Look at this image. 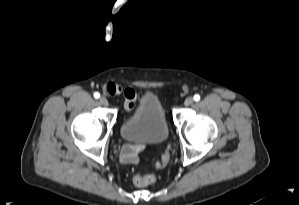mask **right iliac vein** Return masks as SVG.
<instances>
[{
	"mask_svg": "<svg viewBox=\"0 0 299 205\" xmlns=\"http://www.w3.org/2000/svg\"><path fill=\"white\" fill-rule=\"evenodd\" d=\"M99 101L102 105L108 106V100L104 96L100 97Z\"/></svg>",
	"mask_w": 299,
	"mask_h": 205,
	"instance_id": "right-iliac-vein-1",
	"label": "right iliac vein"
}]
</instances>
